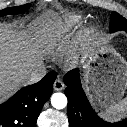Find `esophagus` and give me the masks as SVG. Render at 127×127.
<instances>
[{"label": "esophagus", "instance_id": "obj_1", "mask_svg": "<svg viewBox=\"0 0 127 127\" xmlns=\"http://www.w3.org/2000/svg\"><path fill=\"white\" fill-rule=\"evenodd\" d=\"M53 88L55 91H61L64 89V83L60 78H57L53 84Z\"/></svg>", "mask_w": 127, "mask_h": 127}]
</instances>
